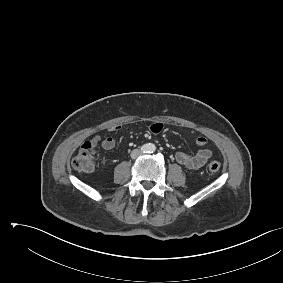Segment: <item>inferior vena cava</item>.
Returning <instances> with one entry per match:
<instances>
[{"mask_svg": "<svg viewBox=\"0 0 283 283\" xmlns=\"http://www.w3.org/2000/svg\"><path fill=\"white\" fill-rule=\"evenodd\" d=\"M142 155V151L139 150V149H134L132 152H131V158L135 159L137 158L138 156Z\"/></svg>", "mask_w": 283, "mask_h": 283, "instance_id": "inferior-vena-cava-1", "label": "inferior vena cava"}]
</instances>
